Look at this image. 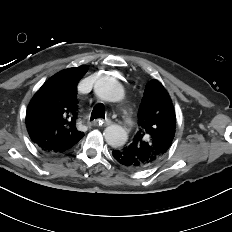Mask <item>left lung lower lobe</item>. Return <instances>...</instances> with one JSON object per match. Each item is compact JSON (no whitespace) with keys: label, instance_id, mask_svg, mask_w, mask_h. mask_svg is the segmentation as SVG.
I'll return each instance as SVG.
<instances>
[{"label":"left lung lower lobe","instance_id":"0a47b994","mask_svg":"<svg viewBox=\"0 0 232 232\" xmlns=\"http://www.w3.org/2000/svg\"><path fill=\"white\" fill-rule=\"evenodd\" d=\"M112 155L117 163L130 170H140L139 161L127 150L126 147L112 151Z\"/></svg>","mask_w":232,"mask_h":232}]
</instances>
